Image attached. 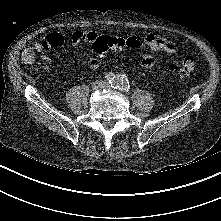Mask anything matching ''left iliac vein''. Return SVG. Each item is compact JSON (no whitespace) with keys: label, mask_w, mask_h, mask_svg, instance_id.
<instances>
[{"label":"left iliac vein","mask_w":221,"mask_h":221,"mask_svg":"<svg viewBox=\"0 0 221 221\" xmlns=\"http://www.w3.org/2000/svg\"><path fill=\"white\" fill-rule=\"evenodd\" d=\"M104 88L111 89V86L109 84H105Z\"/></svg>","instance_id":"obj_1"}]
</instances>
